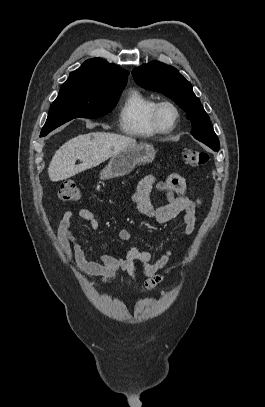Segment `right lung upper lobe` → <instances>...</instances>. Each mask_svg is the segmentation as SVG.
I'll return each mask as SVG.
<instances>
[{"label": "right lung upper lobe", "mask_w": 265, "mask_h": 407, "mask_svg": "<svg viewBox=\"0 0 265 407\" xmlns=\"http://www.w3.org/2000/svg\"><path fill=\"white\" fill-rule=\"evenodd\" d=\"M129 72L101 58L86 60L79 69L70 73L67 81H98L127 84Z\"/></svg>", "instance_id": "obj_1"}]
</instances>
